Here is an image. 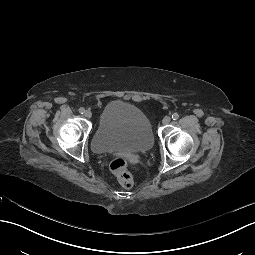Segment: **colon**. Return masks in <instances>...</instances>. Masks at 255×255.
<instances>
[{
	"instance_id": "colon-1",
	"label": "colon",
	"mask_w": 255,
	"mask_h": 255,
	"mask_svg": "<svg viewBox=\"0 0 255 255\" xmlns=\"http://www.w3.org/2000/svg\"><path fill=\"white\" fill-rule=\"evenodd\" d=\"M110 169L124 188H131L134 184L133 177L128 170V162L124 157H116L111 161Z\"/></svg>"
}]
</instances>
